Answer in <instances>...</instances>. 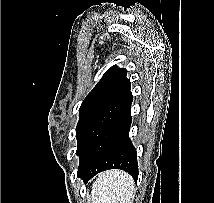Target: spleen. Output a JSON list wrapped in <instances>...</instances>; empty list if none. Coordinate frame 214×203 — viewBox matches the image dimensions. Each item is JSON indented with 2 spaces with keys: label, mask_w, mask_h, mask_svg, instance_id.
I'll return each instance as SVG.
<instances>
[{
  "label": "spleen",
  "mask_w": 214,
  "mask_h": 203,
  "mask_svg": "<svg viewBox=\"0 0 214 203\" xmlns=\"http://www.w3.org/2000/svg\"><path fill=\"white\" fill-rule=\"evenodd\" d=\"M134 181L123 172L112 170L98 175L93 184L92 203H132Z\"/></svg>",
  "instance_id": "1"
}]
</instances>
